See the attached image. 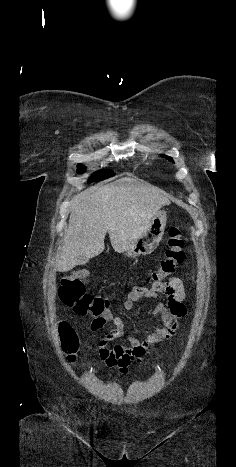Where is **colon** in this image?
<instances>
[{
	"label": "colon",
	"instance_id": "5ec220e1",
	"mask_svg": "<svg viewBox=\"0 0 236 467\" xmlns=\"http://www.w3.org/2000/svg\"><path fill=\"white\" fill-rule=\"evenodd\" d=\"M168 237V247L164 257L148 277V282L153 285L161 284L165 279L172 277L178 265L184 261V240L181 229L175 225L170 226ZM89 275L88 269H80L64 277L59 287V298L64 306L72 308L78 315L100 316L109 309L110 302L102 296H94L86 291L84 280ZM59 332L63 350L67 353L68 360L73 362L79 350L78 335L66 321L60 323Z\"/></svg>",
	"mask_w": 236,
	"mask_h": 467
}]
</instances>
